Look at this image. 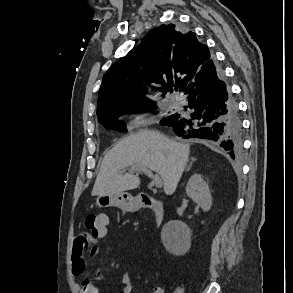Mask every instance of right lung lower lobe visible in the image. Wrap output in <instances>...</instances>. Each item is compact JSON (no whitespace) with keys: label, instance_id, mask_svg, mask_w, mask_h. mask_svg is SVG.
<instances>
[{"label":"right lung lower lobe","instance_id":"right-lung-lower-lobe-1","mask_svg":"<svg viewBox=\"0 0 293 293\" xmlns=\"http://www.w3.org/2000/svg\"><path fill=\"white\" fill-rule=\"evenodd\" d=\"M188 106L160 121L183 138L210 139L224 148L232 159L242 148V125L222 72L212 59L181 91Z\"/></svg>","mask_w":293,"mask_h":293}]
</instances>
